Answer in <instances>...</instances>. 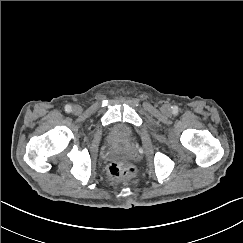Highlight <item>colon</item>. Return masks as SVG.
Listing matches in <instances>:
<instances>
[{
    "instance_id": "1",
    "label": "colon",
    "mask_w": 243,
    "mask_h": 243,
    "mask_svg": "<svg viewBox=\"0 0 243 243\" xmlns=\"http://www.w3.org/2000/svg\"><path fill=\"white\" fill-rule=\"evenodd\" d=\"M134 173V167L126 161L116 160L111 162L108 166V174L113 179H130L131 177H133Z\"/></svg>"
}]
</instances>
